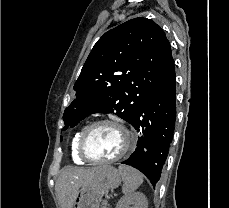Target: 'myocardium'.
I'll return each mask as SVG.
<instances>
[{"instance_id": "obj_1", "label": "myocardium", "mask_w": 229, "mask_h": 208, "mask_svg": "<svg viewBox=\"0 0 229 208\" xmlns=\"http://www.w3.org/2000/svg\"><path fill=\"white\" fill-rule=\"evenodd\" d=\"M103 125H113V126H117L119 127L121 130L124 131V133L126 134L127 138H128V142H124V149L122 150L121 153H119L118 155H116V157H111V160H91V157H89V154L86 152V147H87V143L86 140L88 139L90 133ZM135 146V137L134 134L121 122H119L118 120H114V119H103V120H98L92 124H90L89 126H87L84 131L81 134L79 143H78V152L79 157L80 158H85L86 160H88L89 162L92 163H98V164H107V163H113L116 162L122 158H124Z\"/></svg>"}]
</instances>
